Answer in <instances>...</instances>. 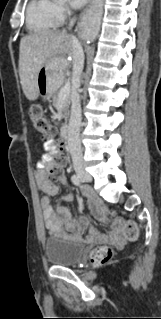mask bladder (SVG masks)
I'll list each match as a JSON object with an SVG mask.
<instances>
[{"instance_id": "1", "label": "bladder", "mask_w": 161, "mask_h": 319, "mask_svg": "<svg viewBox=\"0 0 161 319\" xmlns=\"http://www.w3.org/2000/svg\"><path fill=\"white\" fill-rule=\"evenodd\" d=\"M43 252L49 264L70 266L82 259L85 245L70 237L50 235L44 240Z\"/></svg>"}]
</instances>
